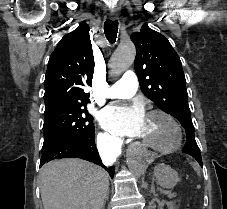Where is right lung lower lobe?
I'll return each mask as SVG.
<instances>
[{
	"mask_svg": "<svg viewBox=\"0 0 227 209\" xmlns=\"http://www.w3.org/2000/svg\"><path fill=\"white\" fill-rule=\"evenodd\" d=\"M69 157L81 158L93 162L105 168L111 177L114 175L113 167L107 168L101 163L94 144V135L92 137L69 138L53 145L42 147L40 166L54 159Z\"/></svg>",
	"mask_w": 227,
	"mask_h": 209,
	"instance_id": "1",
	"label": "right lung lower lobe"
}]
</instances>
